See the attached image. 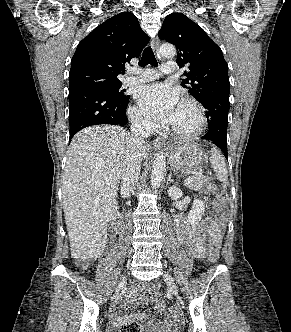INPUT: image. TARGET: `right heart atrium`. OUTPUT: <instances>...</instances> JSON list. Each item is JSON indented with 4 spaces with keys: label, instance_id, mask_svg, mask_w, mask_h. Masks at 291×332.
Returning <instances> with one entry per match:
<instances>
[{
    "label": "right heart atrium",
    "instance_id": "right-heart-atrium-1",
    "mask_svg": "<svg viewBox=\"0 0 291 332\" xmlns=\"http://www.w3.org/2000/svg\"><path fill=\"white\" fill-rule=\"evenodd\" d=\"M129 116L131 121L138 127L147 129L152 126L150 121L144 116L142 111L137 107H133L130 109Z\"/></svg>",
    "mask_w": 291,
    "mask_h": 332
}]
</instances>
